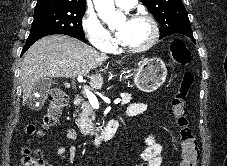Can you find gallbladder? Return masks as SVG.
I'll list each match as a JSON object with an SVG mask.
<instances>
[{"mask_svg": "<svg viewBox=\"0 0 227 166\" xmlns=\"http://www.w3.org/2000/svg\"><path fill=\"white\" fill-rule=\"evenodd\" d=\"M55 82L53 81V79L50 78H42L39 79L33 87L32 90V95L28 100V106L32 109H37L39 107H41L45 101V99L47 98V95L50 91V88L52 86V84H54ZM36 103L39 104L38 107H36Z\"/></svg>", "mask_w": 227, "mask_h": 166, "instance_id": "1", "label": "gallbladder"}]
</instances>
